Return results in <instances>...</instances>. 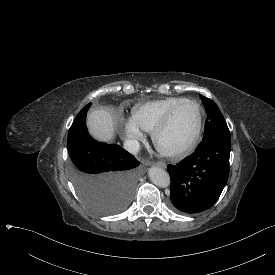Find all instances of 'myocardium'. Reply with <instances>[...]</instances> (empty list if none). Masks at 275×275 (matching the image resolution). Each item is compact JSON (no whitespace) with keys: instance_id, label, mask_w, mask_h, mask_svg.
Returning a JSON list of instances; mask_svg holds the SVG:
<instances>
[{"instance_id":"myocardium-1","label":"myocardium","mask_w":275,"mask_h":275,"mask_svg":"<svg viewBox=\"0 0 275 275\" xmlns=\"http://www.w3.org/2000/svg\"><path fill=\"white\" fill-rule=\"evenodd\" d=\"M183 104H192L196 109L197 119H196L194 129L192 133L189 135V137L181 145L174 148L163 147L159 144V138L169 128L174 113ZM201 128H202V110L200 105L195 100L185 99L175 104L167 112L163 120L157 126L154 127L151 133V140H152L153 147L162 156L179 157L187 153L193 147V145L195 144L196 140L200 135Z\"/></svg>"}]
</instances>
